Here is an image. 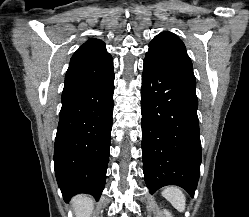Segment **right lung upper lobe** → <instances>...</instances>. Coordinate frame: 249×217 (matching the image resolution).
Returning <instances> with one entry per match:
<instances>
[{
  "label": "right lung upper lobe",
  "mask_w": 249,
  "mask_h": 217,
  "mask_svg": "<svg viewBox=\"0 0 249 217\" xmlns=\"http://www.w3.org/2000/svg\"><path fill=\"white\" fill-rule=\"evenodd\" d=\"M107 54L105 43L101 40L91 38L74 53L70 64L93 60Z\"/></svg>",
  "instance_id": "right-lung-upper-lobe-1"
}]
</instances>
